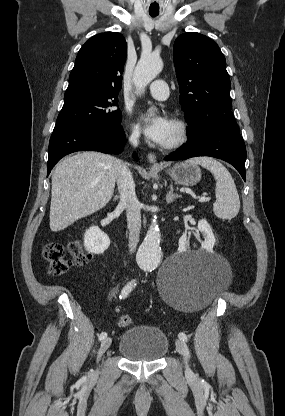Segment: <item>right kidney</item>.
<instances>
[{"instance_id":"ca27d5eb","label":"right kidney","mask_w":285,"mask_h":416,"mask_svg":"<svg viewBox=\"0 0 285 416\" xmlns=\"http://www.w3.org/2000/svg\"><path fill=\"white\" fill-rule=\"evenodd\" d=\"M110 246L107 234H104L98 226H91L84 234V248L90 254H103Z\"/></svg>"}]
</instances>
